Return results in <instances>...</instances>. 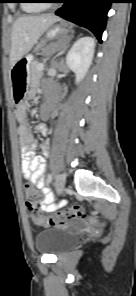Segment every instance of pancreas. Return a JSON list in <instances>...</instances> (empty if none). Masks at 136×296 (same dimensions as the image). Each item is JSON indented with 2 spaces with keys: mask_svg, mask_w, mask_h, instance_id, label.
<instances>
[{
  "mask_svg": "<svg viewBox=\"0 0 136 296\" xmlns=\"http://www.w3.org/2000/svg\"><path fill=\"white\" fill-rule=\"evenodd\" d=\"M40 65V63L38 62H34L32 63V77L33 78H38L42 75V72L38 70V66Z\"/></svg>",
  "mask_w": 136,
  "mask_h": 296,
  "instance_id": "1",
  "label": "pancreas"
}]
</instances>
